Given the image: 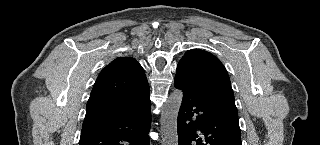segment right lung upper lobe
<instances>
[{"mask_svg":"<svg viewBox=\"0 0 320 145\" xmlns=\"http://www.w3.org/2000/svg\"><path fill=\"white\" fill-rule=\"evenodd\" d=\"M141 65L132 57H118L100 72L86 106L84 121L120 112L148 87Z\"/></svg>","mask_w":320,"mask_h":145,"instance_id":"1","label":"right lung upper lobe"}]
</instances>
